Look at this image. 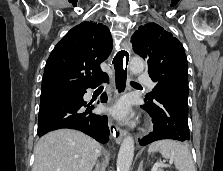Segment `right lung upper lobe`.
Instances as JSON below:
<instances>
[{"mask_svg": "<svg viewBox=\"0 0 223 171\" xmlns=\"http://www.w3.org/2000/svg\"><path fill=\"white\" fill-rule=\"evenodd\" d=\"M107 26L84 21L72 28L54 47L44 70L41 99L63 93L80 92L106 73L100 63L112 50Z\"/></svg>", "mask_w": 223, "mask_h": 171, "instance_id": "right-lung-upper-lobe-1", "label": "right lung upper lobe"}]
</instances>
